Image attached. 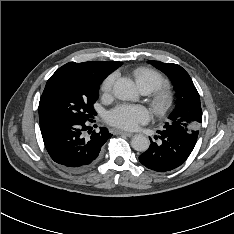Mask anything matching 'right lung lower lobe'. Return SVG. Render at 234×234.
<instances>
[{
	"instance_id": "obj_1",
	"label": "right lung lower lobe",
	"mask_w": 234,
	"mask_h": 234,
	"mask_svg": "<svg viewBox=\"0 0 234 234\" xmlns=\"http://www.w3.org/2000/svg\"><path fill=\"white\" fill-rule=\"evenodd\" d=\"M88 121L78 118L54 117L40 121V130L50 157L63 168L79 171L97 159L101 147L112 136L107 128L88 130ZM91 133L84 136L85 131Z\"/></svg>"
}]
</instances>
